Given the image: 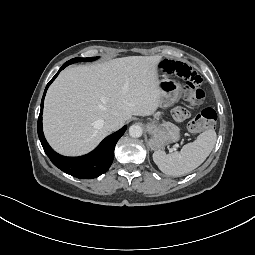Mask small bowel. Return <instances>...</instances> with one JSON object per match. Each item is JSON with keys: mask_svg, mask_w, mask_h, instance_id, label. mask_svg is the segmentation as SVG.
I'll list each match as a JSON object with an SVG mask.
<instances>
[{"mask_svg": "<svg viewBox=\"0 0 255 255\" xmlns=\"http://www.w3.org/2000/svg\"><path fill=\"white\" fill-rule=\"evenodd\" d=\"M172 117L176 122L183 123L189 118V111L183 106H178L173 110Z\"/></svg>", "mask_w": 255, "mask_h": 255, "instance_id": "obj_1", "label": "small bowel"}]
</instances>
